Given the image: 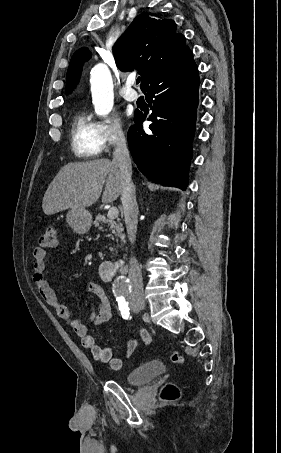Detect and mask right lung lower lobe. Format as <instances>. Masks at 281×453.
I'll return each instance as SVG.
<instances>
[{"mask_svg": "<svg viewBox=\"0 0 281 453\" xmlns=\"http://www.w3.org/2000/svg\"><path fill=\"white\" fill-rule=\"evenodd\" d=\"M198 89V69L191 51L144 86L146 100L152 105L148 118L153 122L151 132H145L141 125L146 113L143 117L135 112L128 143L137 167L153 182L186 189Z\"/></svg>", "mask_w": 281, "mask_h": 453, "instance_id": "98d812e1", "label": "right lung lower lobe"}]
</instances>
